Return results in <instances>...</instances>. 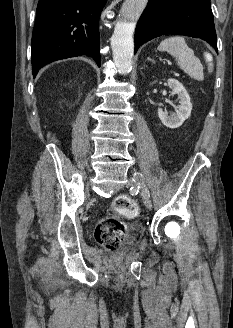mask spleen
Listing matches in <instances>:
<instances>
[{
	"instance_id": "1",
	"label": "spleen",
	"mask_w": 233,
	"mask_h": 328,
	"mask_svg": "<svg viewBox=\"0 0 233 328\" xmlns=\"http://www.w3.org/2000/svg\"><path fill=\"white\" fill-rule=\"evenodd\" d=\"M158 50L166 51L173 56L179 68L191 78L198 81L204 79L203 66L195 56L194 51L186 44L184 37L173 36L166 38L160 43Z\"/></svg>"
}]
</instances>
